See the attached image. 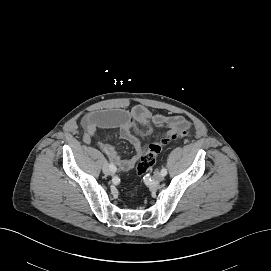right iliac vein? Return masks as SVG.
<instances>
[{"label":"right iliac vein","instance_id":"right-iliac-vein-1","mask_svg":"<svg viewBox=\"0 0 271 271\" xmlns=\"http://www.w3.org/2000/svg\"><path fill=\"white\" fill-rule=\"evenodd\" d=\"M103 173L106 174V175H111L113 172L111 171L109 165L105 164L103 166Z\"/></svg>","mask_w":271,"mask_h":271}]
</instances>
